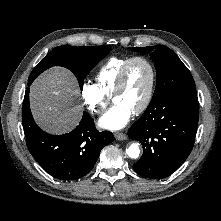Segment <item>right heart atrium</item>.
<instances>
[{
	"instance_id": "d8ad5b80",
	"label": "right heart atrium",
	"mask_w": 221,
	"mask_h": 221,
	"mask_svg": "<svg viewBox=\"0 0 221 221\" xmlns=\"http://www.w3.org/2000/svg\"><path fill=\"white\" fill-rule=\"evenodd\" d=\"M81 97L86 108L93 114H101L108 105L106 97L96 84L84 82L81 86Z\"/></svg>"
}]
</instances>
